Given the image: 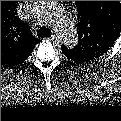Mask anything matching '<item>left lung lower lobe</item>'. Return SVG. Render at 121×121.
<instances>
[{
	"instance_id": "obj_1",
	"label": "left lung lower lobe",
	"mask_w": 121,
	"mask_h": 121,
	"mask_svg": "<svg viewBox=\"0 0 121 121\" xmlns=\"http://www.w3.org/2000/svg\"><path fill=\"white\" fill-rule=\"evenodd\" d=\"M65 53V55L69 56L71 53H69L68 51L64 50L63 51Z\"/></svg>"
}]
</instances>
